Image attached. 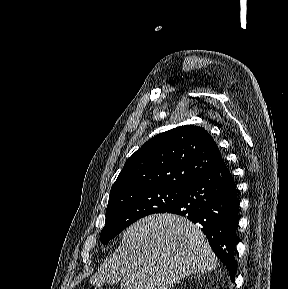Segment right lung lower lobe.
Wrapping results in <instances>:
<instances>
[{"mask_svg": "<svg viewBox=\"0 0 288 289\" xmlns=\"http://www.w3.org/2000/svg\"><path fill=\"white\" fill-rule=\"evenodd\" d=\"M238 203L235 181L222 160L188 185L182 198L167 211L200 225L232 280L237 269L234 255L238 243Z\"/></svg>", "mask_w": 288, "mask_h": 289, "instance_id": "1", "label": "right lung lower lobe"}]
</instances>
